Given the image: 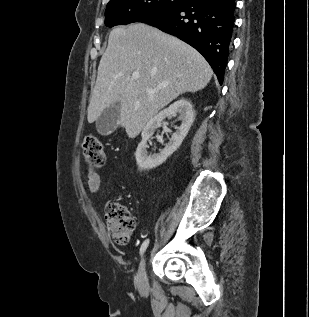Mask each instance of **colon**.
<instances>
[{
	"label": "colon",
	"instance_id": "1",
	"mask_svg": "<svg viewBox=\"0 0 309 317\" xmlns=\"http://www.w3.org/2000/svg\"><path fill=\"white\" fill-rule=\"evenodd\" d=\"M83 152L87 162L94 167L105 163V150L101 140L95 135H87L83 141ZM106 229L111 238L119 244L129 241L135 229V220L126 206L112 202L105 208Z\"/></svg>",
	"mask_w": 309,
	"mask_h": 317
}]
</instances>
